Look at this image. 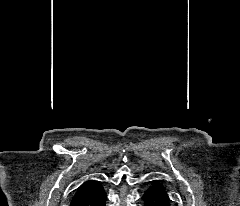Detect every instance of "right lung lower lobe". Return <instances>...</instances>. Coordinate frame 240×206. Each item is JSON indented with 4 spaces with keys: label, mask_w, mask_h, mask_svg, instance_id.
<instances>
[{
    "label": "right lung lower lobe",
    "mask_w": 240,
    "mask_h": 206,
    "mask_svg": "<svg viewBox=\"0 0 240 206\" xmlns=\"http://www.w3.org/2000/svg\"><path fill=\"white\" fill-rule=\"evenodd\" d=\"M105 202L106 193L103 187L99 185L89 195L71 201L70 206H105Z\"/></svg>",
    "instance_id": "1"
}]
</instances>
